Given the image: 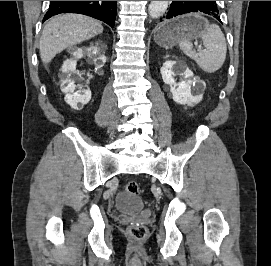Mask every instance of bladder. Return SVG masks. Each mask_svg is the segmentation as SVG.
<instances>
[{"instance_id": "bladder-1", "label": "bladder", "mask_w": 271, "mask_h": 266, "mask_svg": "<svg viewBox=\"0 0 271 266\" xmlns=\"http://www.w3.org/2000/svg\"><path fill=\"white\" fill-rule=\"evenodd\" d=\"M143 205V201L139 196L123 192L116 197L114 207L117 212L133 215L139 212Z\"/></svg>"}]
</instances>
